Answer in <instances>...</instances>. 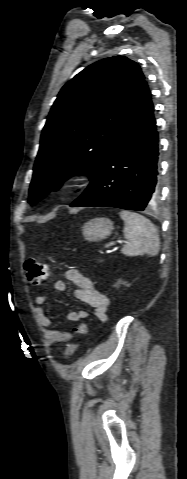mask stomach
Masks as SVG:
<instances>
[{
	"mask_svg": "<svg viewBox=\"0 0 187 479\" xmlns=\"http://www.w3.org/2000/svg\"><path fill=\"white\" fill-rule=\"evenodd\" d=\"M113 222L108 218H94L82 227V234L88 241H99L112 233Z\"/></svg>",
	"mask_w": 187,
	"mask_h": 479,
	"instance_id": "obj_1",
	"label": "stomach"
}]
</instances>
